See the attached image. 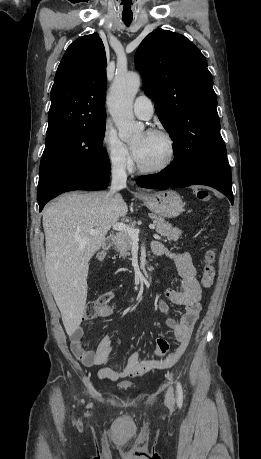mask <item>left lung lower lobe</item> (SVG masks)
<instances>
[{"label":"left lung lower lobe","mask_w":261,"mask_h":459,"mask_svg":"<svg viewBox=\"0 0 261 459\" xmlns=\"http://www.w3.org/2000/svg\"><path fill=\"white\" fill-rule=\"evenodd\" d=\"M137 184L149 189L178 188L194 184L207 185L222 192L233 204L231 169L226 154L203 159L190 166L185 172L169 166L157 175L138 178Z\"/></svg>","instance_id":"left-lung-lower-lobe-1"}]
</instances>
